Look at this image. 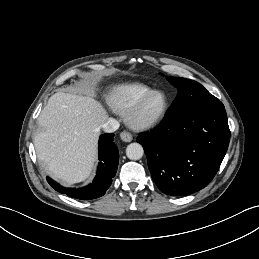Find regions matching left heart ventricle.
I'll use <instances>...</instances> for the list:
<instances>
[{"instance_id": "1", "label": "left heart ventricle", "mask_w": 259, "mask_h": 259, "mask_svg": "<svg viewBox=\"0 0 259 259\" xmlns=\"http://www.w3.org/2000/svg\"><path fill=\"white\" fill-rule=\"evenodd\" d=\"M165 98L162 94L151 96L142 108L140 117L142 119H152L159 115L164 108Z\"/></svg>"}]
</instances>
